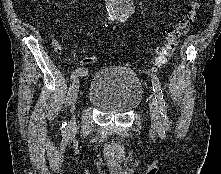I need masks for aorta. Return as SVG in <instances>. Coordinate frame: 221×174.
Wrapping results in <instances>:
<instances>
[{
    "label": "aorta",
    "instance_id": "aorta-1",
    "mask_svg": "<svg viewBox=\"0 0 221 174\" xmlns=\"http://www.w3.org/2000/svg\"><path fill=\"white\" fill-rule=\"evenodd\" d=\"M106 10L111 19H127L133 11V0H105Z\"/></svg>",
    "mask_w": 221,
    "mask_h": 174
}]
</instances>
